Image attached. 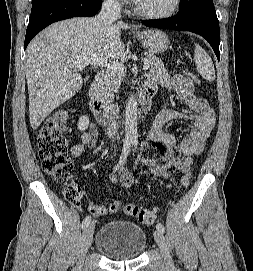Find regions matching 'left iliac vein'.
<instances>
[{
  "label": "left iliac vein",
  "mask_w": 253,
  "mask_h": 271,
  "mask_svg": "<svg viewBox=\"0 0 253 271\" xmlns=\"http://www.w3.org/2000/svg\"><path fill=\"white\" fill-rule=\"evenodd\" d=\"M154 239L161 251V254L163 256L164 264L168 269H173L174 264L171 258V255L169 253V249L165 240L164 235L159 230L154 231Z\"/></svg>",
  "instance_id": "left-iliac-vein-1"
}]
</instances>
